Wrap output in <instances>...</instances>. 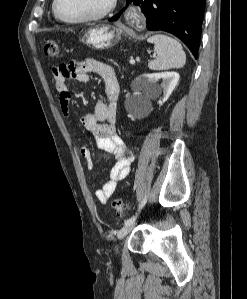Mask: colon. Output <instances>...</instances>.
<instances>
[{"label": "colon", "mask_w": 247, "mask_h": 299, "mask_svg": "<svg viewBox=\"0 0 247 299\" xmlns=\"http://www.w3.org/2000/svg\"><path fill=\"white\" fill-rule=\"evenodd\" d=\"M44 54L47 58L55 59L59 56V46L55 40H47L44 44ZM129 201L123 198H115L112 201V208L117 214H122L129 208Z\"/></svg>", "instance_id": "colon-1"}]
</instances>
